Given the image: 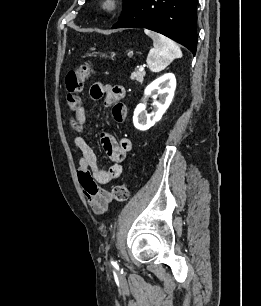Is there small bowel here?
Here are the masks:
<instances>
[{"label":"small bowel","instance_id":"c3829d8e","mask_svg":"<svg viewBox=\"0 0 261 306\" xmlns=\"http://www.w3.org/2000/svg\"><path fill=\"white\" fill-rule=\"evenodd\" d=\"M125 93V88L120 85L96 83L90 89L92 99L97 100L104 97V106H112V117L117 123L123 122L126 118L127 109L121 103ZM73 128L77 132L74 144L80 151L77 171L79 183L93 212L103 214L112 201V196L101 185L109 184L121 175L124 169L123 162L132 148L131 140L127 137L117 140L108 133H101L100 139L103 148L114 162L108 169H103L98 163L93 148L84 137L88 130L85 106L81 105L75 110Z\"/></svg>","mask_w":261,"mask_h":306}]
</instances>
